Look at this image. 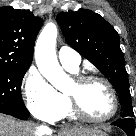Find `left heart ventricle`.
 I'll list each match as a JSON object with an SVG mask.
<instances>
[{
  "label": "left heart ventricle",
  "mask_w": 136,
  "mask_h": 136,
  "mask_svg": "<svg viewBox=\"0 0 136 136\" xmlns=\"http://www.w3.org/2000/svg\"><path fill=\"white\" fill-rule=\"evenodd\" d=\"M66 92L78 94L83 110L90 117L103 118L112 111L111 94L101 82H91L80 90L72 82Z\"/></svg>",
  "instance_id": "obj_1"
}]
</instances>
